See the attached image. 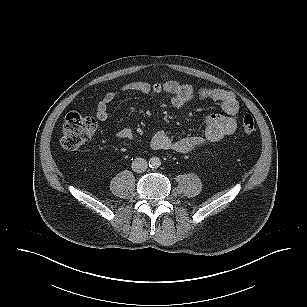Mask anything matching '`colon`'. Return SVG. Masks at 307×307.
I'll return each instance as SVG.
<instances>
[{
    "label": "colon",
    "instance_id": "5ec220e1",
    "mask_svg": "<svg viewBox=\"0 0 307 307\" xmlns=\"http://www.w3.org/2000/svg\"><path fill=\"white\" fill-rule=\"evenodd\" d=\"M97 127L95 118L77 112L69 113L62 127V146L66 150H74L85 144L94 135ZM242 130L246 134L256 131L254 118L247 114L241 124Z\"/></svg>",
    "mask_w": 307,
    "mask_h": 307
}]
</instances>
